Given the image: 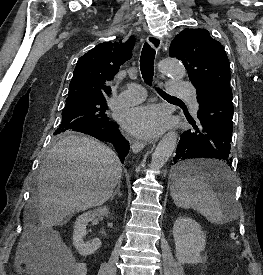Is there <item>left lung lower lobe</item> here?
Here are the masks:
<instances>
[{
    "label": "left lung lower lobe",
    "mask_w": 263,
    "mask_h": 275,
    "mask_svg": "<svg viewBox=\"0 0 263 275\" xmlns=\"http://www.w3.org/2000/svg\"><path fill=\"white\" fill-rule=\"evenodd\" d=\"M197 100L200 123L196 125L194 121L189 120L195 130L189 129L182 133L173 159L174 164L190 159L210 158L220 160L227 167L232 164V90L219 87L197 96ZM174 175L177 178L193 176L212 183H222L224 178L221 170L203 168L192 163L177 167Z\"/></svg>",
    "instance_id": "1"
}]
</instances>
